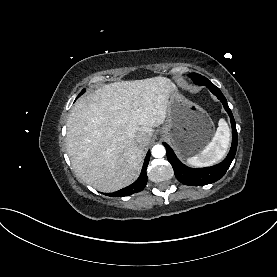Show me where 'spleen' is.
Listing matches in <instances>:
<instances>
[{"label": "spleen", "mask_w": 277, "mask_h": 277, "mask_svg": "<svg viewBox=\"0 0 277 277\" xmlns=\"http://www.w3.org/2000/svg\"><path fill=\"white\" fill-rule=\"evenodd\" d=\"M230 143V129L224 119H220L212 141L199 154L187 158V163L195 167L216 164L226 154Z\"/></svg>", "instance_id": "3e777b00"}]
</instances>
